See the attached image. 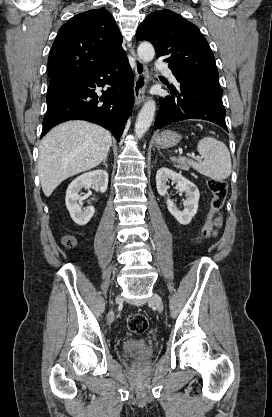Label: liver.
I'll list each match as a JSON object with an SVG mask.
<instances>
[{
	"label": "liver",
	"mask_w": 272,
	"mask_h": 417,
	"mask_svg": "<svg viewBox=\"0 0 272 417\" xmlns=\"http://www.w3.org/2000/svg\"><path fill=\"white\" fill-rule=\"evenodd\" d=\"M111 144L108 130L86 121H69L53 128L39 146L38 173L45 196L65 179L98 166Z\"/></svg>",
	"instance_id": "6515ba94"
}]
</instances>
